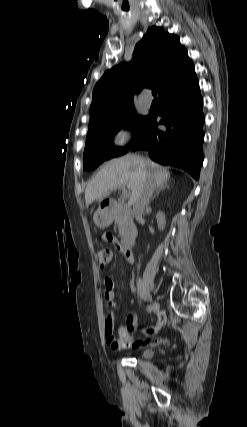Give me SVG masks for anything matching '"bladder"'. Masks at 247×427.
Listing matches in <instances>:
<instances>
[{
    "label": "bladder",
    "mask_w": 247,
    "mask_h": 427,
    "mask_svg": "<svg viewBox=\"0 0 247 427\" xmlns=\"http://www.w3.org/2000/svg\"><path fill=\"white\" fill-rule=\"evenodd\" d=\"M153 354V350L151 348H144L140 352L141 358H150Z\"/></svg>",
    "instance_id": "1"
}]
</instances>
